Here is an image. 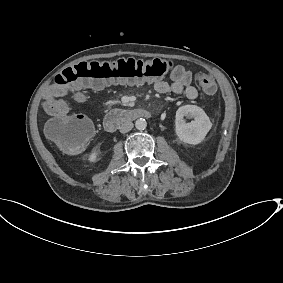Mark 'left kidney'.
<instances>
[{
  "label": "left kidney",
  "mask_w": 283,
  "mask_h": 283,
  "mask_svg": "<svg viewBox=\"0 0 283 283\" xmlns=\"http://www.w3.org/2000/svg\"><path fill=\"white\" fill-rule=\"evenodd\" d=\"M194 118L186 123L184 117ZM212 127L204 110L196 105H185L178 108L175 116V132L179 139L188 144L202 142Z\"/></svg>",
  "instance_id": "left-kidney-1"
}]
</instances>
